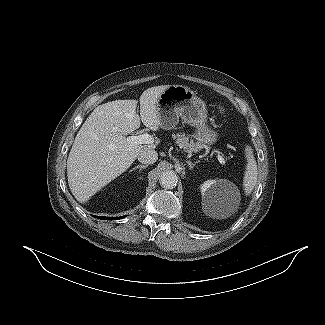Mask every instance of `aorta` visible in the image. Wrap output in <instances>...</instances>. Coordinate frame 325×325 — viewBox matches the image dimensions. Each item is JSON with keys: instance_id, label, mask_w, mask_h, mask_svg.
I'll list each match as a JSON object with an SVG mask.
<instances>
[{"instance_id": "1", "label": "aorta", "mask_w": 325, "mask_h": 325, "mask_svg": "<svg viewBox=\"0 0 325 325\" xmlns=\"http://www.w3.org/2000/svg\"><path fill=\"white\" fill-rule=\"evenodd\" d=\"M160 185L166 189H172L178 182V177L173 171L163 172L159 179Z\"/></svg>"}]
</instances>
